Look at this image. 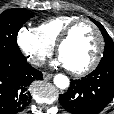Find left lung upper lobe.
I'll return each instance as SVG.
<instances>
[{
    "mask_svg": "<svg viewBox=\"0 0 114 114\" xmlns=\"http://www.w3.org/2000/svg\"><path fill=\"white\" fill-rule=\"evenodd\" d=\"M92 21L99 27L105 39L104 53L99 65L112 64L114 63V42L112 41L105 28L99 22L93 19Z\"/></svg>",
    "mask_w": 114,
    "mask_h": 114,
    "instance_id": "left-lung-upper-lobe-1",
    "label": "left lung upper lobe"
}]
</instances>
